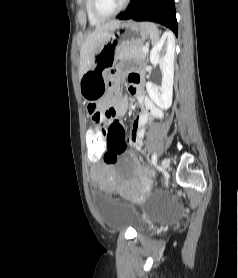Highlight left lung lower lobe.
I'll use <instances>...</instances> for the list:
<instances>
[{"mask_svg": "<svg viewBox=\"0 0 238 278\" xmlns=\"http://www.w3.org/2000/svg\"><path fill=\"white\" fill-rule=\"evenodd\" d=\"M120 20L152 21L170 28L178 34L174 0H131Z\"/></svg>", "mask_w": 238, "mask_h": 278, "instance_id": "obj_1", "label": "left lung lower lobe"}]
</instances>
